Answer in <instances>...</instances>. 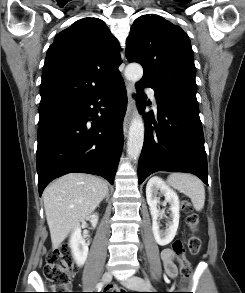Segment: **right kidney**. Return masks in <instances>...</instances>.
I'll return each instance as SVG.
<instances>
[{"label": "right kidney", "mask_w": 245, "mask_h": 293, "mask_svg": "<svg viewBox=\"0 0 245 293\" xmlns=\"http://www.w3.org/2000/svg\"><path fill=\"white\" fill-rule=\"evenodd\" d=\"M87 219H90L93 227L96 226L98 222L97 214L89 216ZM69 246L71 248L74 260L78 266L84 265L87 256H88V244L81 235V227L77 225L72 232L69 240Z\"/></svg>", "instance_id": "right-kidney-1"}]
</instances>
